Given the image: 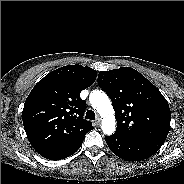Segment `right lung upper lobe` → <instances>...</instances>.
<instances>
[{
	"mask_svg": "<svg viewBox=\"0 0 184 184\" xmlns=\"http://www.w3.org/2000/svg\"><path fill=\"white\" fill-rule=\"evenodd\" d=\"M97 72L68 65L48 73L32 89L23 112V125L32 147L41 155L81 143L93 129L83 119L86 103L80 92L91 86Z\"/></svg>",
	"mask_w": 184,
	"mask_h": 184,
	"instance_id": "obj_1",
	"label": "right lung upper lobe"
}]
</instances>
